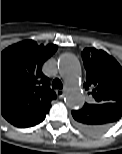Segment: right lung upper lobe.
I'll return each mask as SVG.
<instances>
[{"mask_svg": "<svg viewBox=\"0 0 122 154\" xmlns=\"http://www.w3.org/2000/svg\"><path fill=\"white\" fill-rule=\"evenodd\" d=\"M56 50L54 44L26 40L1 52V114L14 126L36 125L49 112L56 94L41 67Z\"/></svg>", "mask_w": 122, "mask_h": 154, "instance_id": "1", "label": "right lung upper lobe"}]
</instances>
